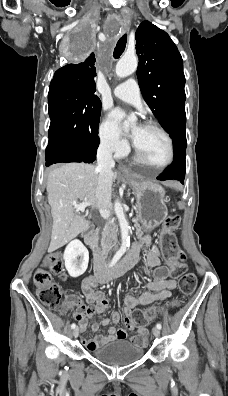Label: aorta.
Returning <instances> with one entry per match:
<instances>
[{
  "label": "aorta",
  "instance_id": "aorta-1",
  "mask_svg": "<svg viewBox=\"0 0 228 396\" xmlns=\"http://www.w3.org/2000/svg\"><path fill=\"white\" fill-rule=\"evenodd\" d=\"M138 61L135 56H123L116 65V75L120 78L127 77L135 72L137 69ZM136 121L135 117H130L124 122L125 129H129L130 126ZM114 211L118 218L120 230H121V249L127 250L130 246L129 230L130 226L126 219L122 204L119 200L115 201Z\"/></svg>",
  "mask_w": 228,
  "mask_h": 396
}]
</instances>
